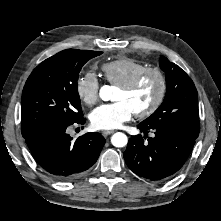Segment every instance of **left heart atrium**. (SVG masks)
<instances>
[{
  "instance_id": "obj_1",
  "label": "left heart atrium",
  "mask_w": 221,
  "mask_h": 221,
  "mask_svg": "<svg viewBox=\"0 0 221 221\" xmlns=\"http://www.w3.org/2000/svg\"><path fill=\"white\" fill-rule=\"evenodd\" d=\"M135 114L125 101L102 104L90 113V122L95 129L113 130L129 121Z\"/></svg>"
}]
</instances>
